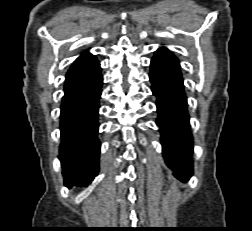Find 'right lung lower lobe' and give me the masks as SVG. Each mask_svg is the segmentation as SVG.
<instances>
[{
  "label": "right lung lower lobe",
  "instance_id": "obj_1",
  "mask_svg": "<svg viewBox=\"0 0 252 231\" xmlns=\"http://www.w3.org/2000/svg\"><path fill=\"white\" fill-rule=\"evenodd\" d=\"M102 75L64 90L60 160L64 184L87 186L99 171L98 110Z\"/></svg>",
  "mask_w": 252,
  "mask_h": 231
}]
</instances>
